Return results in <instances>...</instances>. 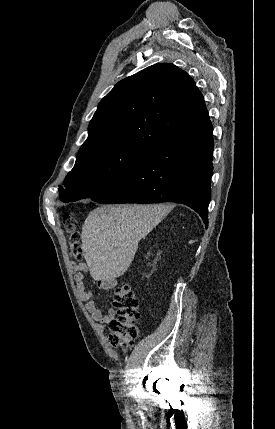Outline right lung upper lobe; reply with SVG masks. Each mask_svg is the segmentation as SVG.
Wrapping results in <instances>:
<instances>
[{
    "label": "right lung upper lobe",
    "mask_w": 275,
    "mask_h": 429,
    "mask_svg": "<svg viewBox=\"0 0 275 429\" xmlns=\"http://www.w3.org/2000/svg\"><path fill=\"white\" fill-rule=\"evenodd\" d=\"M211 125L193 79L173 64H155L119 81L101 100L77 159L111 146L151 154Z\"/></svg>",
    "instance_id": "1"
}]
</instances>
